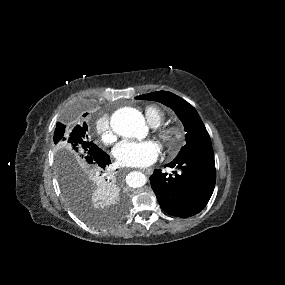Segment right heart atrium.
<instances>
[{
  "label": "right heart atrium",
  "instance_id": "1",
  "mask_svg": "<svg viewBox=\"0 0 285 285\" xmlns=\"http://www.w3.org/2000/svg\"><path fill=\"white\" fill-rule=\"evenodd\" d=\"M95 130L101 142L109 145L116 139V134L111 125V119L108 114L100 116L95 124Z\"/></svg>",
  "mask_w": 285,
  "mask_h": 285
}]
</instances>
